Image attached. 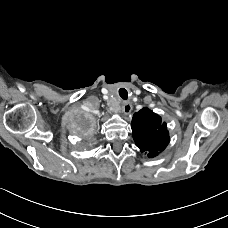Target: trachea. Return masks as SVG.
<instances>
[{
    "label": "trachea",
    "instance_id": "1",
    "mask_svg": "<svg viewBox=\"0 0 228 228\" xmlns=\"http://www.w3.org/2000/svg\"><path fill=\"white\" fill-rule=\"evenodd\" d=\"M119 95L122 99L126 100L128 98V91L125 88H120Z\"/></svg>",
    "mask_w": 228,
    "mask_h": 228
}]
</instances>
